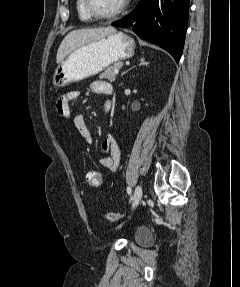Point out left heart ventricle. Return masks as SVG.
<instances>
[{
	"label": "left heart ventricle",
	"instance_id": "obj_1",
	"mask_svg": "<svg viewBox=\"0 0 240 287\" xmlns=\"http://www.w3.org/2000/svg\"><path fill=\"white\" fill-rule=\"evenodd\" d=\"M123 0H93L94 6L101 13H109L115 10Z\"/></svg>",
	"mask_w": 240,
	"mask_h": 287
}]
</instances>
